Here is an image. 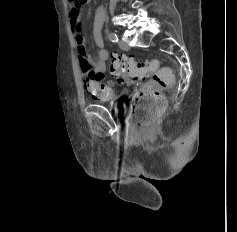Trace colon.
I'll list each match as a JSON object with an SVG mask.
<instances>
[{"instance_id":"colon-1","label":"colon","mask_w":237,"mask_h":232,"mask_svg":"<svg viewBox=\"0 0 237 232\" xmlns=\"http://www.w3.org/2000/svg\"><path fill=\"white\" fill-rule=\"evenodd\" d=\"M89 0H69L75 7H81ZM110 73L123 83L125 78L142 81L143 85L135 96L133 118L135 125L149 131L165 108L162 91L174 82L170 69L159 68L156 60L138 62L131 57L114 54L110 62Z\"/></svg>"}]
</instances>
